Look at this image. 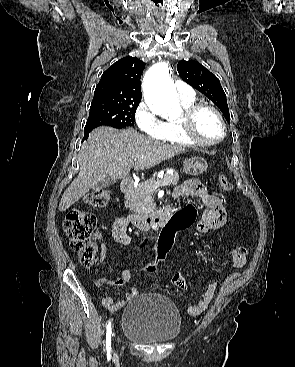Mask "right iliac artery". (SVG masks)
Segmentation results:
<instances>
[{"label":"right iliac artery","instance_id":"82829eb1","mask_svg":"<svg viewBox=\"0 0 295 367\" xmlns=\"http://www.w3.org/2000/svg\"><path fill=\"white\" fill-rule=\"evenodd\" d=\"M111 329H112V322L111 320H109L106 332V351L108 354L111 351Z\"/></svg>","mask_w":295,"mask_h":367}]
</instances>
